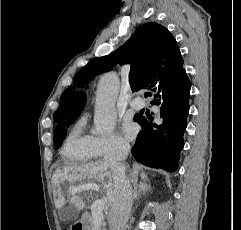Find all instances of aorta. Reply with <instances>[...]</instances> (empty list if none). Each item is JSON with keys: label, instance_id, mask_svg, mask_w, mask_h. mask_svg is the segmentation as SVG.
<instances>
[{"label": "aorta", "instance_id": "aorta-1", "mask_svg": "<svg viewBox=\"0 0 241 230\" xmlns=\"http://www.w3.org/2000/svg\"><path fill=\"white\" fill-rule=\"evenodd\" d=\"M119 88V77L115 72H109L100 78L96 91L94 134L110 135L113 132L117 120L115 102Z\"/></svg>", "mask_w": 241, "mask_h": 230}]
</instances>
